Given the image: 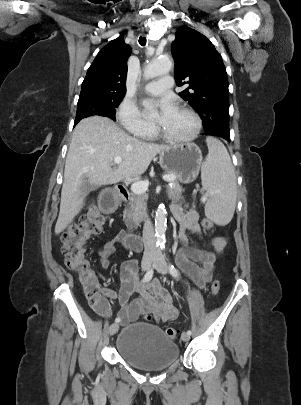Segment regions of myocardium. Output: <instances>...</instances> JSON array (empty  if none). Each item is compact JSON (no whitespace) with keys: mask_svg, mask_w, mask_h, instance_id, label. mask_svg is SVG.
<instances>
[{"mask_svg":"<svg viewBox=\"0 0 301 405\" xmlns=\"http://www.w3.org/2000/svg\"><path fill=\"white\" fill-rule=\"evenodd\" d=\"M178 109L189 114L193 118V120H194L193 131L187 136L177 137V136L168 134L159 124L155 123V126H154L155 132L158 136H160L161 138H163L169 142L187 143V142L194 140L199 135L201 128H202V121H201L199 114L192 108L187 107V106H180Z\"/></svg>","mask_w":301,"mask_h":405,"instance_id":"myocardium-1","label":"myocardium"}]
</instances>
